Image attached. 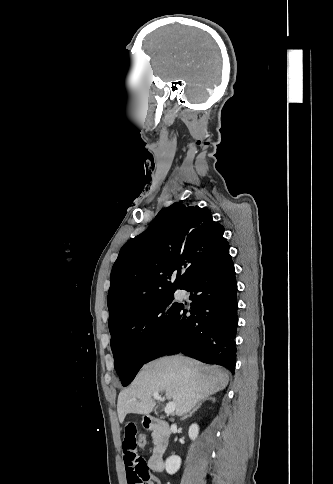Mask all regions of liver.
I'll return each mask as SVG.
<instances>
[{
  "instance_id": "liver-1",
  "label": "liver",
  "mask_w": 333,
  "mask_h": 484,
  "mask_svg": "<svg viewBox=\"0 0 333 484\" xmlns=\"http://www.w3.org/2000/svg\"><path fill=\"white\" fill-rule=\"evenodd\" d=\"M227 373L183 356L164 357L142 367L132 384L120 392L117 412L120 423L128 413L148 415L156 402L155 393L165 392L173 400L175 413L182 416L197 402L226 388Z\"/></svg>"
}]
</instances>
